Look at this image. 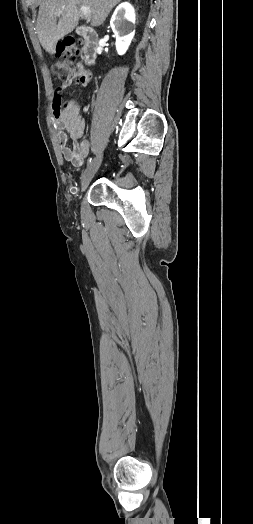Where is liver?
I'll return each mask as SVG.
<instances>
[{
  "instance_id": "6515ba94",
  "label": "liver",
  "mask_w": 253,
  "mask_h": 524,
  "mask_svg": "<svg viewBox=\"0 0 253 524\" xmlns=\"http://www.w3.org/2000/svg\"><path fill=\"white\" fill-rule=\"evenodd\" d=\"M120 2L121 0H40L36 28L42 47L50 54L55 52L57 42L78 25L79 5L90 7L91 26L98 27Z\"/></svg>"
}]
</instances>
